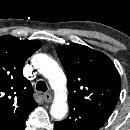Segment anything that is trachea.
<instances>
[{"instance_id": "1", "label": "trachea", "mask_w": 130, "mask_h": 130, "mask_svg": "<svg viewBox=\"0 0 130 130\" xmlns=\"http://www.w3.org/2000/svg\"><path fill=\"white\" fill-rule=\"evenodd\" d=\"M36 89L41 92L47 91V85L44 81H38L36 84Z\"/></svg>"}]
</instances>
